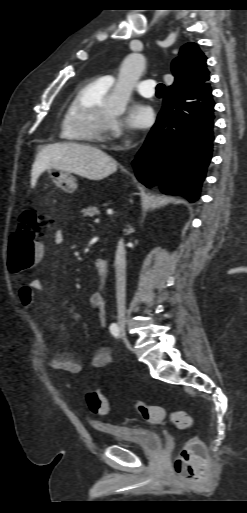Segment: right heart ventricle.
Masks as SVG:
<instances>
[{
	"mask_svg": "<svg viewBox=\"0 0 247 513\" xmlns=\"http://www.w3.org/2000/svg\"><path fill=\"white\" fill-rule=\"evenodd\" d=\"M101 78L82 83L71 98L61 122V137L69 142L93 144L101 141L109 128L110 118L102 129H97L95 117L107 109L105 98L110 89Z\"/></svg>",
	"mask_w": 247,
	"mask_h": 513,
	"instance_id": "obj_1",
	"label": "right heart ventricle"
}]
</instances>
